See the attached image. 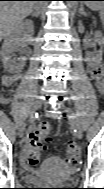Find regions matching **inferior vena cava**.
<instances>
[{"label":"inferior vena cava","mask_w":104,"mask_h":189,"mask_svg":"<svg viewBox=\"0 0 104 189\" xmlns=\"http://www.w3.org/2000/svg\"><path fill=\"white\" fill-rule=\"evenodd\" d=\"M44 6L42 1L35 2L34 10L37 14L40 13L41 8Z\"/></svg>","instance_id":"inferior-vena-cava-1"}]
</instances>
